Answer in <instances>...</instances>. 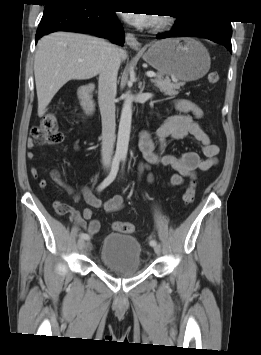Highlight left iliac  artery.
Returning a JSON list of instances; mask_svg holds the SVG:
<instances>
[{
    "mask_svg": "<svg viewBox=\"0 0 261 355\" xmlns=\"http://www.w3.org/2000/svg\"><path fill=\"white\" fill-rule=\"evenodd\" d=\"M124 160H125V157H123V161H124ZM149 244H150L151 246H154V245L157 244V242H156V240L151 239L150 242H149Z\"/></svg>",
    "mask_w": 261,
    "mask_h": 355,
    "instance_id": "left-iliac-artery-1",
    "label": "left iliac artery"
}]
</instances>
